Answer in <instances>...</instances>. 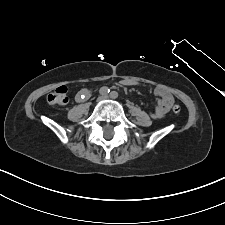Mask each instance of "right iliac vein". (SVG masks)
I'll return each mask as SVG.
<instances>
[{
    "label": "right iliac vein",
    "mask_w": 225,
    "mask_h": 225,
    "mask_svg": "<svg viewBox=\"0 0 225 225\" xmlns=\"http://www.w3.org/2000/svg\"><path fill=\"white\" fill-rule=\"evenodd\" d=\"M103 98L102 97H99L98 99H97V101L99 102V101H101Z\"/></svg>",
    "instance_id": "63e3f726"
}]
</instances>
